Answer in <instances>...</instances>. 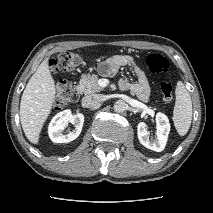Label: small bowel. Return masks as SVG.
<instances>
[{
  "label": "small bowel",
  "mask_w": 213,
  "mask_h": 213,
  "mask_svg": "<svg viewBox=\"0 0 213 213\" xmlns=\"http://www.w3.org/2000/svg\"><path fill=\"white\" fill-rule=\"evenodd\" d=\"M128 66L133 69L137 81L132 83L127 79H121L119 86L123 90L133 92L137 97L146 101L150 97V86L147 77L140 64L130 55H115L102 65V71L106 75H114L121 67Z\"/></svg>",
  "instance_id": "1"
}]
</instances>
